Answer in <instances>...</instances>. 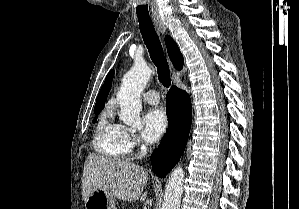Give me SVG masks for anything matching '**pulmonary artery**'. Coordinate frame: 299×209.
Masks as SVG:
<instances>
[{
	"instance_id": "obj_1",
	"label": "pulmonary artery",
	"mask_w": 299,
	"mask_h": 209,
	"mask_svg": "<svg viewBox=\"0 0 299 209\" xmlns=\"http://www.w3.org/2000/svg\"><path fill=\"white\" fill-rule=\"evenodd\" d=\"M143 99L149 104L155 105L160 101V97L156 90H148L143 94Z\"/></svg>"
}]
</instances>
